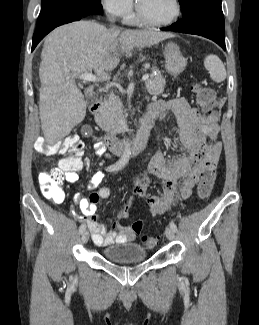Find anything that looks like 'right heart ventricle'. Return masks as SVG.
<instances>
[{
    "instance_id": "1",
    "label": "right heart ventricle",
    "mask_w": 259,
    "mask_h": 325,
    "mask_svg": "<svg viewBox=\"0 0 259 325\" xmlns=\"http://www.w3.org/2000/svg\"><path fill=\"white\" fill-rule=\"evenodd\" d=\"M126 19H127L128 22H131V23L136 21L135 16L133 14H131V13L129 15H127Z\"/></svg>"
}]
</instances>
